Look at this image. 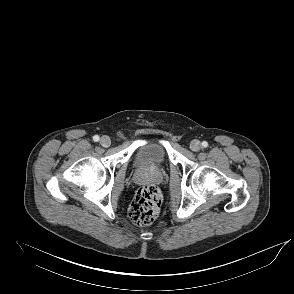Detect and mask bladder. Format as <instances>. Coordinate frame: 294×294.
<instances>
[{
  "instance_id": "1",
  "label": "bladder",
  "mask_w": 294,
  "mask_h": 294,
  "mask_svg": "<svg viewBox=\"0 0 294 294\" xmlns=\"http://www.w3.org/2000/svg\"><path fill=\"white\" fill-rule=\"evenodd\" d=\"M167 160L165 148L157 142H150L140 147L135 164L138 168L162 166Z\"/></svg>"
}]
</instances>
